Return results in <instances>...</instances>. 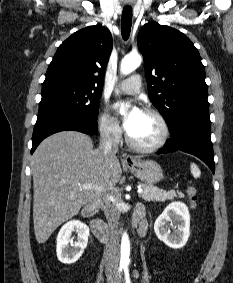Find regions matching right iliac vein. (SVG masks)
Returning a JSON list of instances; mask_svg holds the SVG:
<instances>
[{
	"mask_svg": "<svg viewBox=\"0 0 233 283\" xmlns=\"http://www.w3.org/2000/svg\"><path fill=\"white\" fill-rule=\"evenodd\" d=\"M114 279H115V277H114V274H113V273H109V274L107 275V281H108V283H114Z\"/></svg>",
	"mask_w": 233,
	"mask_h": 283,
	"instance_id": "obj_1",
	"label": "right iliac vein"
}]
</instances>
